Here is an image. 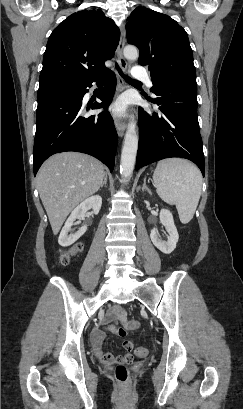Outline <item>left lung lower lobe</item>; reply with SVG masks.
I'll return each instance as SVG.
<instances>
[{
  "mask_svg": "<svg viewBox=\"0 0 243 409\" xmlns=\"http://www.w3.org/2000/svg\"><path fill=\"white\" fill-rule=\"evenodd\" d=\"M158 111L139 108V146L136 170L155 161L181 157L205 173V160L197 116V83L194 77L170 78L152 91Z\"/></svg>",
  "mask_w": 243,
  "mask_h": 409,
  "instance_id": "obj_1",
  "label": "left lung lower lobe"
}]
</instances>
